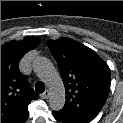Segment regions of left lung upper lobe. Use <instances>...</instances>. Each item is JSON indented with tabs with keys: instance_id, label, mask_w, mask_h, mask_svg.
Returning <instances> with one entry per match:
<instances>
[{
	"instance_id": "left-lung-upper-lobe-1",
	"label": "left lung upper lobe",
	"mask_w": 123,
	"mask_h": 123,
	"mask_svg": "<svg viewBox=\"0 0 123 123\" xmlns=\"http://www.w3.org/2000/svg\"><path fill=\"white\" fill-rule=\"evenodd\" d=\"M48 45L66 91L65 105L57 113L74 123L90 122L102 109L110 91L107 63L92 49L68 38L51 40Z\"/></svg>"
}]
</instances>
